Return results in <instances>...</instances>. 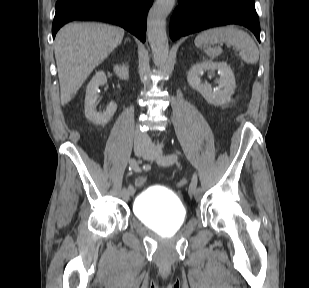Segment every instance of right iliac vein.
Wrapping results in <instances>:
<instances>
[{
    "label": "right iliac vein",
    "instance_id": "63e3f726",
    "mask_svg": "<svg viewBox=\"0 0 309 288\" xmlns=\"http://www.w3.org/2000/svg\"><path fill=\"white\" fill-rule=\"evenodd\" d=\"M134 154L137 156V157H140V156H146L148 154V149L142 147V146H138V145H135L134 146ZM134 193H129V190L126 191V193L124 194L125 198H129L130 196H132Z\"/></svg>",
    "mask_w": 309,
    "mask_h": 288
}]
</instances>
